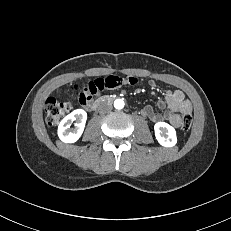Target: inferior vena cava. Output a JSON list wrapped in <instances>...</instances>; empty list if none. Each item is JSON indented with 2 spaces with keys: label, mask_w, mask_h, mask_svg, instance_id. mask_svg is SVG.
<instances>
[{
  "label": "inferior vena cava",
  "mask_w": 231,
  "mask_h": 231,
  "mask_svg": "<svg viewBox=\"0 0 231 231\" xmlns=\"http://www.w3.org/2000/svg\"><path fill=\"white\" fill-rule=\"evenodd\" d=\"M112 110V104L107 101L100 102L98 105L99 113H107Z\"/></svg>",
  "instance_id": "602c4592"
}]
</instances>
